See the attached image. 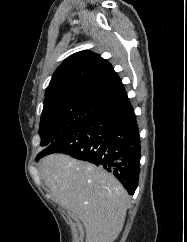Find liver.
I'll return each instance as SVG.
<instances>
[{
    "label": "liver",
    "instance_id": "1",
    "mask_svg": "<svg viewBox=\"0 0 187 242\" xmlns=\"http://www.w3.org/2000/svg\"><path fill=\"white\" fill-rule=\"evenodd\" d=\"M40 172L55 201L83 222L86 242H113L118 237L129 197L112 174L63 154L43 158Z\"/></svg>",
    "mask_w": 187,
    "mask_h": 242
}]
</instances>
